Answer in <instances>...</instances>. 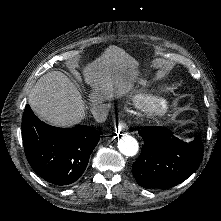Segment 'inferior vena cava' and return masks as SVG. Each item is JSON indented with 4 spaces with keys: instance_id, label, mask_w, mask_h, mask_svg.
Wrapping results in <instances>:
<instances>
[{
    "instance_id": "inferior-vena-cava-1",
    "label": "inferior vena cava",
    "mask_w": 221,
    "mask_h": 221,
    "mask_svg": "<svg viewBox=\"0 0 221 221\" xmlns=\"http://www.w3.org/2000/svg\"><path fill=\"white\" fill-rule=\"evenodd\" d=\"M93 111L95 113L97 122H104L107 119L108 110L104 104H94Z\"/></svg>"
}]
</instances>
